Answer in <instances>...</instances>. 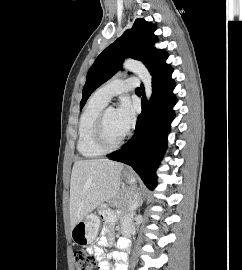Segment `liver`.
Listing matches in <instances>:
<instances>
[{
    "label": "liver",
    "mask_w": 242,
    "mask_h": 270,
    "mask_svg": "<svg viewBox=\"0 0 242 270\" xmlns=\"http://www.w3.org/2000/svg\"><path fill=\"white\" fill-rule=\"evenodd\" d=\"M124 165L108 159L76 161L70 181L71 229L101 203L120 193Z\"/></svg>",
    "instance_id": "6515ba94"
}]
</instances>
